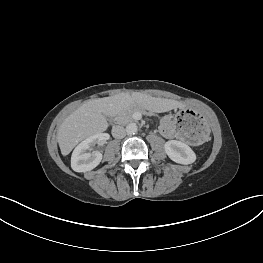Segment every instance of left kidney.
I'll return each mask as SVG.
<instances>
[{
  "mask_svg": "<svg viewBox=\"0 0 263 263\" xmlns=\"http://www.w3.org/2000/svg\"><path fill=\"white\" fill-rule=\"evenodd\" d=\"M168 157L179 164H192L196 160L194 151L185 143L178 140L167 141L164 145Z\"/></svg>",
  "mask_w": 263,
  "mask_h": 263,
  "instance_id": "obj_1",
  "label": "left kidney"
}]
</instances>
